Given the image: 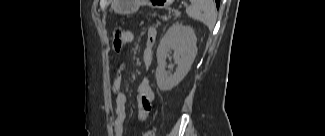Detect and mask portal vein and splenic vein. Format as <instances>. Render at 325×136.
Instances as JSON below:
<instances>
[{
	"instance_id": "obj_1",
	"label": "portal vein and splenic vein",
	"mask_w": 325,
	"mask_h": 136,
	"mask_svg": "<svg viewBox=\"0 0 325 136\" xmlns=\"http://www.w3.org/2000/svg\"><path fill=\"white\" fill-rule=\"evenodd\" d=\"M175 14H176V16H179L180 15V11H176Z\"/></svg>"
}]
</instances>
